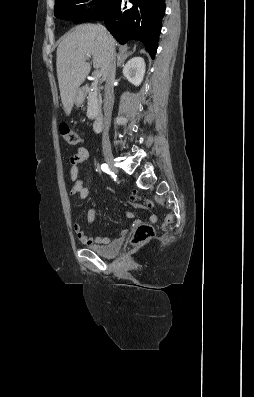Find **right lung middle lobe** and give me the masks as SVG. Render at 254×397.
Masks as SVG:
<instances>
[{"mask_svg":"<svg viewBox=\"0 0 254 397\" xmlns=\"http://www.w3.org/2000/svg\"><path fill=\"white\" fill-rule=\"evenodd\" d=\"M89 0H56L54 14L57 18L73 20L76 23L86 22L101 14L112 4L113 0H93L97 6L93 11H84Z\"/></svg>","mask_w":254,"mask_h":397,"instance_id":"dd1d6c3e","label":"right lung middle lobe"}]
</instances>
